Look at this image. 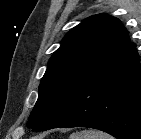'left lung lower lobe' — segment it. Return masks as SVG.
I'll return each mask as SVG.
<instances>
[{
	"instance_id": "1",
	"label": "left lung lower lobe",
	"mask_w": 141,
	"mask_h": 139,
	"mask_svg": "<svg viewBox=\"0 0 141 139\" xmlns=\"http://www.w3.org/2000/svg\"><path fill=\"white\" fill-rule=\"evenodd\" d=\"M59 127L141 139V65L133 42L88 76L42 131Z\"/></svg>"
}]
</instances>
